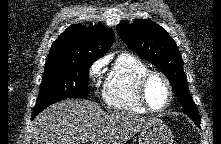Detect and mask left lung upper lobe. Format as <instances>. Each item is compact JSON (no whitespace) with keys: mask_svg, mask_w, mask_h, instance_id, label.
Instances as JSON below:
<instances>
[{"mask_svg":"<svg viewBox=\"0 0 221 144\" xmlns=\"http://www.w3.org/2000/svg\"><path fill=\"white\" fill-rule=\"evenodd\" d=\"M116 30L131 50L165 74L179 102L183 105L184 113L193 121H200L188 90L182 56L169 34L151 20H137L132 24L121 23Z\"/></svg>","mask_w":221,"mask_h":144,"instance_id":"5c2ea615","label":"left lung upper lobe"}]
</instances>
